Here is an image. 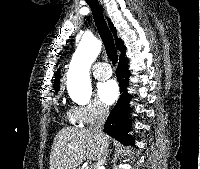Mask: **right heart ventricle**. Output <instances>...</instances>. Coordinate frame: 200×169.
Masks as SVG:
<instances>
[{"label": "right heart ventricle", "mask_w": 200, "mask_h": 169, "mask_svg": "<svg viewBox=\"0 0 200 169\" xmlns=\"http://www.w3.org/2000/svg\"><path fill=\"white\" fill-rule=\"evenodd\" d=\"M68 118L73 124H78L71 111L68 113Z\"/></svg>", "instance_id": "obj_1"}]
</instances>
